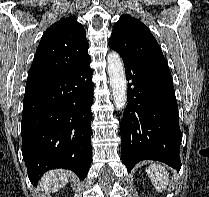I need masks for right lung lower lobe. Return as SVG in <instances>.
I'll return each mask as SVG.
<instances>
[{
	"mask_svg": "<svg viewBox=\"0 0 209 197\" xmlns=\"http://www.w3.org/2000/svg\"><path fill=\"white\" fill-rule=\"evenodd\" d=\"M90 57L61 76L26 88L21 123L22 154L37 184L44 172L63 168L83 180L92 160Z\"/></svg>",
	"mask_w": 209,
	"mask_h": 197,
	"instance_id": "1",
	"label": "right lung lower lobe"
}]
</instances>
